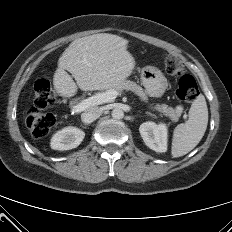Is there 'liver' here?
Returning a JSON list of instances; mask_svg holds the SVG:
<instances>
[{
    "mask_svg": "<svg viewBox=\"0 0 232 232\" xmlns=\"http://www.w3.org/2000/svg\"><path fill=\"white\" fill-rule=\"evenodd\" d=\"M127 45L128 40L109 33L74 40L58 60L53 76L56 92L62 97H72L78 88L105 90L123 82L135 67Z\"/></svg>",
    "mask_w": 232,
    "mask_h": 232,
    "instance_id": "obj_1",
    "label": "liver"
}]
</instances>
